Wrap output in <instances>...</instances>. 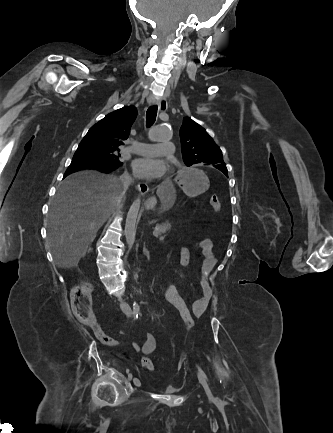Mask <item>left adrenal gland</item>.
Masks as SVG:
<instances>
[{
	"label": "left adrenal gland",
	"mask_w": 333,
	"mask_h": 433,
	"mask_svg": "<svg viewBox=\"0 0 333 433\" xmlns=\"http://www.w3.org/2000/svg\"><path fill=\"white\" fill-rule=\"evenodd\" d=\"M143 252H144V254L149 255V251L146 249L145 243L143 246Z\"/></svg>",
	"instance_id": "obj_1"
}]
</instances>
